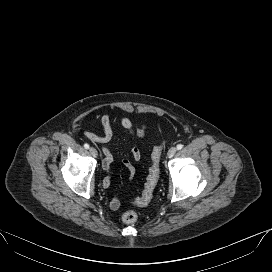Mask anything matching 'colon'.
<instances>
[{"mask_svg":"<svg viewBox=\"0 0 272 272\" xmlns=\"http://www.w3.org/2000/svg\"><path fill=\"white\" fill-rule=\"evenodd\" d=\"M164 146L165 143H160L159 145L155 146L152 151L151 166L144 183L142 194L134 201L136 205L143 206L148 204L153 196V192L159 179L160 159ZM122 220L127 225H134L138 221V215L134 210H128L123 214Z\"/></svg>","mask_w":272,"mask_h":272,"instance_id":"obj_1","label":"colon"}]
</instances>
